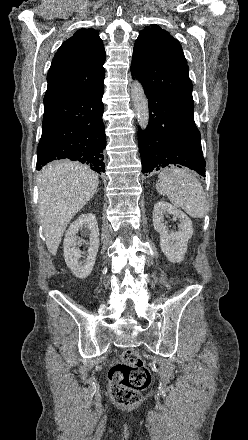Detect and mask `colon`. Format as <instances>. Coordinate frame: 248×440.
Returning <instances> with one entry per match:
<instances>
[{"label": "colon", "mask_w": 248, "mask_h": 440, "mask_svg": "<svg viewBox=\"0 0 248 440\" xmlns=\"http://www.w3.org/2000/svg\"><path fill=\"white\" fill-rule=\"evenodd\" d=\"M110 394L115 402L123 408H133L140 404L142 391L151 381V375L135 349H127L122 361L109 370Z\"/></svg>", "instance_id": "colon-1"}]
</instances>
